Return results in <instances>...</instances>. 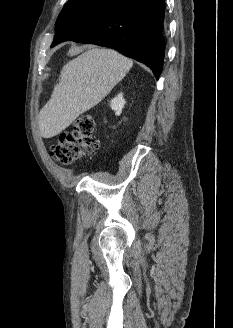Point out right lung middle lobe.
<instances>
[{"label":"right lung middle lobe","mask_w":233,"mask_h":328,"mask_svg":"<svg viewBox=\"0 0 233 328\" xmlns=\"http://www.w3.org/2000/svg\"><path fill=\"white\" fill-rule=\"evenodd\" d=\"M93 0H69L67 4L65 5L64 9L60 13L57 22L64 17L72 14L73 12L85 7L89 3H91Z\"/></svg>","instance_id":"dd1d6c3e"}]
</instances>
